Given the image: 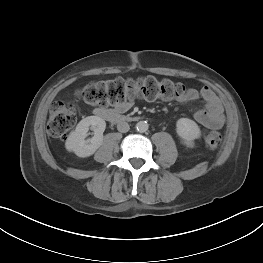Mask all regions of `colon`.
I'll return each mask as SVG.
<instances>
[{
	"label": "colon",
	"instance_id": "5ec220e1",
	"mask_svg": "<svg viewBox=\"0 0 263 263\" xmlns=\"http://www.w3.org/2000/svg\"><path fill=\"white\" fill-rule=\"evenodd\" d=\"M186 93L185 86L170 79H156L152 76L141 78H116L113 80L92 82L78 90L77 97L85 103L95 106L121 105L135 97L148 101L156 99L173 100ZM77 123V111L74 106L57 102L53 105L48 121V133L54 138H63ZM204 142L216 148L222 141V135L216 130L205 131Z\"/></svg>",
	"mask_w": 263,
	"mask_h": 263
}]
</instances>
